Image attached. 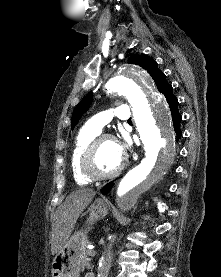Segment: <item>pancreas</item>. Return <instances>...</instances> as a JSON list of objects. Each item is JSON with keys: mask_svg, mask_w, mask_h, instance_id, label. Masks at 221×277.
<instances>
[{"mask_svg": "<svg viewBox=\"0 0 221 277\" xmlns=\"http://www.w3.org/2000/svg\"><path fill=\"white\" fill-rule=\"evenodd\" d=\"M94 255H95V252L93 250H86L85 258L83 260L82 266L90 268L91 267V265H90L91 259L88 258V256H94Z\"/></svg>", "mask_w": 221, "mask_h": 277, "instance_id": "cf45deb5", "label": "pancreas"}]
</instances>
